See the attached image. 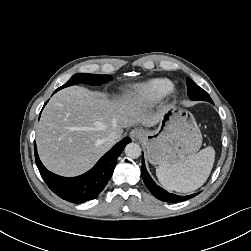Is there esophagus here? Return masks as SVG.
<instances>
[{
    "mask_svg": "<svg viewBox=\"0 0 251 251\" xmlns=\"http://www.w3.org/2000/svg\"><path fill=\"white\" fill-rule=\"evenodd\" d=\"M130 137L132 138V140H137L143 137V131L141 129L135 128L131 130Z\"/></svg>",
    "mask_w": 251,
    "mask_h": 251,
    "instance_id": "1",
    "label": "esophagus"
}]
</instances>
